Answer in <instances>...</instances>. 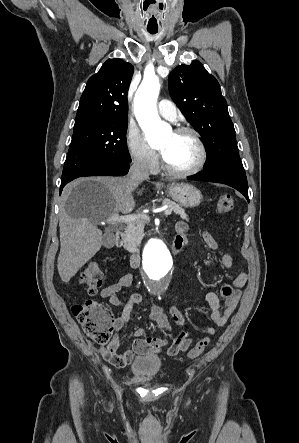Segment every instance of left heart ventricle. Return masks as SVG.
Listing matches in <instances>:
<instances>
[{
  "instance_id": "obj_1",
  "label": "left heart ventricle",
  "mask_w": 299,
  "mask_h": 443,
  "mask_svg": "<svg viewBox=\"0 0 299 443\" xmlns=\"http://www.w3.org/2000/svg\"><path fill=\"white\" fill-rule=\"evenodd\" d=\"M158 149L165 163L175 170H185L195 164L198 158V148L195 140L189 134H167Z\"/></svg>"
}]
</instances>
